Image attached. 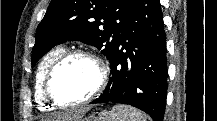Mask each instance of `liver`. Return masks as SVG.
Wrapping results in <instances>:
<instances>
[{
  "label": "liver",
  "mask_w": 217,
  "mask_h": 121,
  "mask_svg": "<svg viewBox=\"0 0 217 121\" xmlns=\"http://www.w3.org/2000/svg\"><path fill=\"white\" fill-rule=\"evenodd\" d=\"M58 121H69L71 118H70V113H65V114H62V115H58L57 117Z\"/></svg>",
  "instance_id": "1"
}]
</instances>
